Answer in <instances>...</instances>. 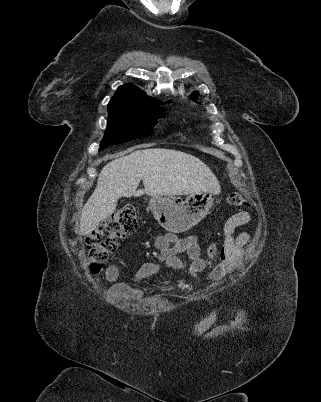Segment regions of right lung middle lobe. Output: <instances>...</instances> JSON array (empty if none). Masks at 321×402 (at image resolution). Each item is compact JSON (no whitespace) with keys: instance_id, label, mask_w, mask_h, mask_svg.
I'll return each mask as SVG.
<instances>
[{"instance_id":"right-lung-middle-lobe-1","label":"right lung middle lobe","mask_w":321,"mask_h":402,"mask_svg":"<svg viewBox=\"0 0 321 402\" xmlns=\"http://www.w3.org/2000/svg\"><path fill=\"white\" fill-rule=\"evenodd\" d=\"M162 115L160 108L109 103L108 125L99 150L149 135Z\"/></svg>"}]
</instances>
